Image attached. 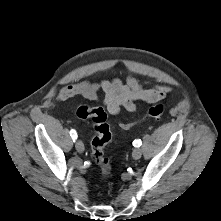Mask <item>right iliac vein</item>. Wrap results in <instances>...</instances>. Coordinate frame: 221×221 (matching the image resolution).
Returning a JSON list of instances; mask_svg holds the SVG:
<instances>
[{"instance_id":"obj_1","label":"right iliac vein","mask_w":221,"mask_h":221,"mask_svg":"<svg viewBox=\"0 0 221 221\" xmlns=\"http://www.w3.org/2000/svg\"><path fill=\"white\" fill-rule=\"evenodd\" d=\"M75 148L79 153H83L84 152V144L81 141H77L75 143Z\"/></svg>"}]
</instances>
